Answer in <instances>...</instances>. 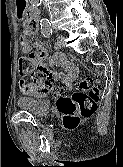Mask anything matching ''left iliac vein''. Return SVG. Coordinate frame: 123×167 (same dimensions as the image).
Returning a JSON list of instances; mask_svg holds the SVG:
<instances>
[{
    "label": "left iliac vein",
    "mask_w": 123,
    "mask_h": 167,
    "mask_svg": "<svg viewBox=\"0 0 123 167\" xmlns=\"http://www.w3.org/2000/svg\"><path fill=\"white\" fill-rule=\"evenodd\" d=\"M64 44H65L64 37L62 35L58 36V38H57V45L58 46L57 47L62 48V47H64Z\"/></svg>",
    "instance_id": "4c4485c4"
}]
</instances>
